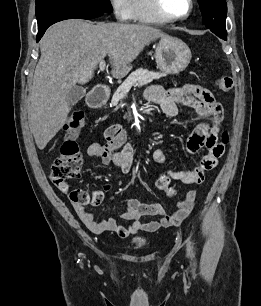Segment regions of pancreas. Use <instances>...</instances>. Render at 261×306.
Instances as JSON below:
<instances>
[{
	"label": "pancreas",
	"instance_id": "obj_1",
	"mask_svg": "<svg viewBox=\"0 0 261 306\" xmlns=\"http://www.w3.org/2000/svg\"><path fill=\"white\" fill-rule=\"evenodd\" d=\"M164 76H166L165 73L148 71L147 69H137L117 88L112 97L111 104L116 106L119 101L125 99L131 87H142Z\"/></svg>",
	"mask_w": 261,
	"mask_h": 306
}]
</instances>
